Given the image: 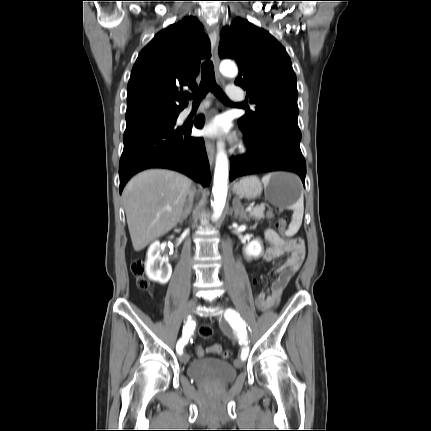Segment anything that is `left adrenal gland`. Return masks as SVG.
Returning <instances> with one entry per match:
<instances>
[{
  "mask_svg": "<svg viewBox=\"0 0 431 431\" xmlns=\"http://www.w3.org/2000/svg\"><path fill=\"white\" fill-rule=\"evenodd\" d=\"M232 211H234V218H239V220L249 221V217L247 216L244 207L241 205L240 200H234Z\"/></svg>",
  "mask_w": 431,
  "mask_h": 431,
  "instance_id": "1",
  "label": "left adrenal gland"
}]
</instances>
